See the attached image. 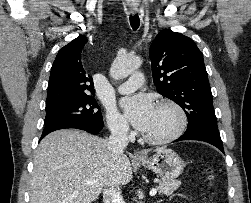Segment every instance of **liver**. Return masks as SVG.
I'll return each instance as SVG.
<instances>
[{"instance_id":"obj_1","label":"liver","mask_w":251,"mask_h":203,"mask_svg":"<svg viewBox=\"0 0 251 203\" xmlns=\"http://www.w3.org/2000/svg\"><path fill=\"white\" fill-rule=\"evenodd\" d=\"M33 163L30 203H91L103 188L126 185L132 179L125 154L114 159L107 140L79 130L47 135ZM87 179L97 182L90 185Z\"/></svg>"}]
</instances>
